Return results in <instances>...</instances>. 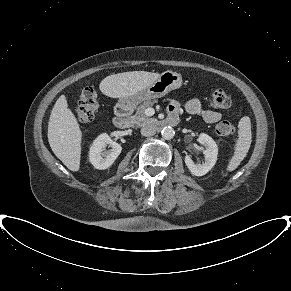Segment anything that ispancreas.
I'll return each instance as SVG.
<instances>
[{
    "instance_id": "cf45deb5",
    "label": "pancreas",
    "mask_w": 291,
    "mask_h": 291,
    "mask_svg": "<svg viewBox=\"0 0 291 291\" xmlns=\"http://www.w3.org/2000/svg\"><path fill=\"white\" fill-rule=\"evenodd\" d=\"M157 101H145L143 104H141L137 110L136 113L129 118L130 120V126L131 127H141L145 125L152 124L155 122L154 118H149L145 114V110L151 106H153Z\"/></svg>"
}]
</instances>
